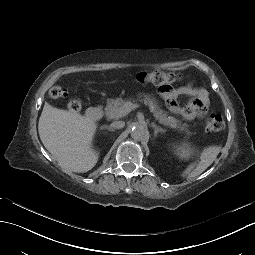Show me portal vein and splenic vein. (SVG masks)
Listing matches in <instances>:
<instances>
[{
  "instance_id": "1",
  "label": "portal vein and splenic vein",
  "mask_w": 255,
  "mask_h": 255,
  "mask_svg": "<svg viewBox=\"0 0 255 255\" xmlns=\"http://www.w3.org/2000/svg\"><path fill=\"white\" fill-rule=\"evenodd\" d=\"M138 107L139 104L137 102L126 101V104L122 107L123 114L127 115L132 109H137Z\"/></svg>"
}]
</instances>
